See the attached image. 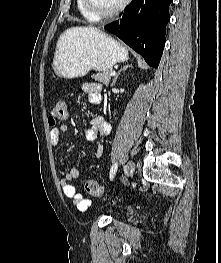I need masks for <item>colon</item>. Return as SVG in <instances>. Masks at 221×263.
<instances>
[{
	"label": "colon",
	"instance_id": "1",
	"mask_svg": "<svg viewBox=\"0 0 221 263\" xmlns=\"http://www.w3.org/2000/svg\"><path fill=\"white\" fill-rule=\"evenodd\" d=\"M66 112L67 105L65 101H56L49 114V123L55 125L56 122L65 118ZM86 190L89 194L99 199L106 198L107 196L106 190L100 187L94 180H88L86 182Z\"/></svg>",
	"mask_w": 221,
	"mask_h": 263
}]
</instances>
